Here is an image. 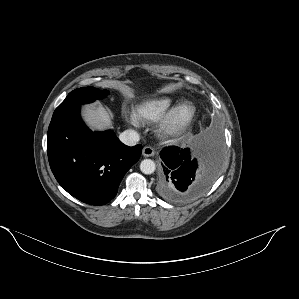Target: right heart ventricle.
<instances>
[{
	"mask_svg": "<svg viewBox=\"0 0 299 299\" xmlns=\"http://www.w3.org/2000/svg\"><path fill=\"white\" fill-rule=\"evenodd\" d=\"M175 101L169 96H157L146 99L134 108L135 118L144 123L162 120L174 107Z\"/></svg>",
	"mask_w": 299,
	"mask_h": 299,
	"instance_id": "obj_1",
	"label": "right heart ventricle"
}]
</instances>
